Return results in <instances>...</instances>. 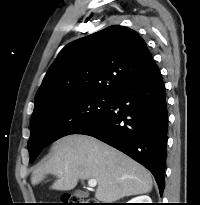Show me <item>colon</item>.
<instances>
[{"mask_svg":"<svg viewBox=\"0 0 200 205\" xmlns=\"http://www.w3.org/2000/svg\"><path fill=\"white\" fill-rule=\"evenodd\" d=\"M63 203L64 205H84L81 198L73 195L64 197Z\"/></svg>","mask_w":200,"mask_h":205,"instance_id":"1","label":"colon"}]
</instances>
